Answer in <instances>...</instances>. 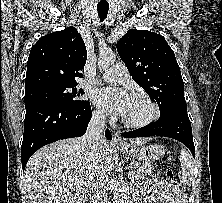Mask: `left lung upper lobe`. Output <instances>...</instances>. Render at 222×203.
Returning a JSON list of instances; mask_svg holds the SVG:
<instances>
[{
	"instance_id": "left-lung-upper-lobe-1",
	"label": "left lung upper lobe",
	"mask_w": 222,
	"mask_h": 203,
	"mask_svg": "<svg viewBox=\"0 0 222 203\" xmlns=\"http://www.w3.org/2000/svg\"><path fill=\"white\" fill-rule=\"evenodd\" d=\"M117 51L133 80L157 101L160 113L187 108L181 71L163 36L131 29L117 42Z\"/></svg>"
}]
</instances>
